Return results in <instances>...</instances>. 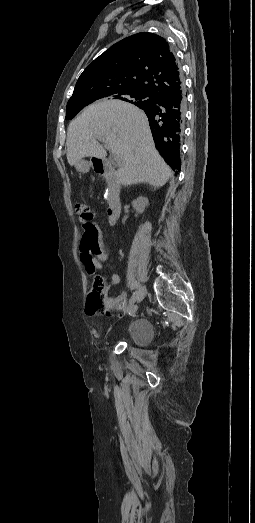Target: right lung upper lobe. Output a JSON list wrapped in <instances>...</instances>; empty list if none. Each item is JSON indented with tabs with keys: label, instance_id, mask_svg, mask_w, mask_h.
<instances>
[{
	"label": "right lung upper lobe",
	"instance_id": "cb5924a9",
	"mask_svg": "<svg viewBox=\"0 0 255 523\" xmlns=\"http://www.w3.org/2000/svg\"><path fill=\"white\" fill-rule=\"evenodd\" d=\"M125 92L148 95L147 100L132 103L144 110L156 148L166 163L178 171L186 94L179 64L164 38L138 33L111 46L80 75L67 106L92 103ZM173 96L182 100L181 107L176 109L178 127L172 142L164 144L158 139L159 122L153 119L152 112L158 102Z\"/></svg>",
	"mask_w": 255,
	"mask_h": 523
}]
</instances>
